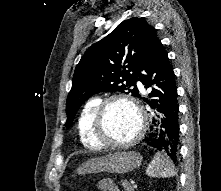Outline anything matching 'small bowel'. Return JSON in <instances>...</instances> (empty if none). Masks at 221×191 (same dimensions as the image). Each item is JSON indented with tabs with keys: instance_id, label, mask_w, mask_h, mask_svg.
Listing matches in <instances>:
<instances>
[{
	"instance_id": "1",
	"label": "small bowel",
	"mask_w": 221,
	"mask_h": 191,
	"mask_svg": "<svg viewBox=\"0 0 221 191\" xmlns=\"http://www.w3.org/2000/svg\"><path fill=\"white\" fill-rule=\"evenodd\" d=\"M97 187L100 191H120L111 180H101L98 182Z\"/></svg>"
}]
</instances>
